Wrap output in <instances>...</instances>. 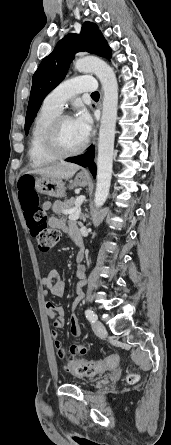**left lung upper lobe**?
<instances>
[{
    "mask_svg": "<svg viewBox=\"0 0 171 445\" xmlns=\"http://www.w3.org/2000/svg\"><path fill=\"white\" fill-rule=\"evenodd\" d=\"M87 51L106 58L111 57L110 48L98 27L85 22L81 33L68 34L61 39L53 52L43 59L32 77V88L25 120V133L29 128L47 94L65 77L74 55Z\"/></svg>",
    "mask_w": 171,
    "mask_h": 445,
    "instance_id": "obj_1",
    "label": "left lung upper lobe"
}]
</instances>
